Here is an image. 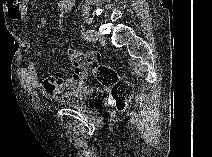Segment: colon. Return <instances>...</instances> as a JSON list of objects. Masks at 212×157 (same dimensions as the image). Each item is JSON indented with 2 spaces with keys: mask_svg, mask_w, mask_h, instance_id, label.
I'll return each mask as SVG.
<instances>
[{
  "mask_svg": "<svg viewBox=\"0 0 212 157\" xmlns=\"http://www.w3.org/2000/svg\"><path fill=\"white\" fill-rule=\"evenodd\" d=\"M67 56L71 64L75 67L74 80L84 83L87 78L86 68L94 70L98 81L111 89V95L115 101L116 109L124 111L132 94V84L128 81L120 80L118 73L112 67L100 63L98 52H82L74 47H70Z\"/></svg>",
  "mask_w": 212,
  "mask_h": 157,
  "instance_id": "1",
  "label": "colon"
}]
</instances>
